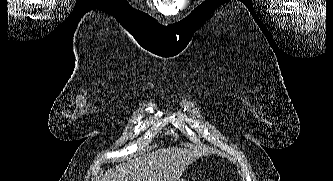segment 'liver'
<instances>
[{
    "mask_svg": "<svg viewBox=\"0 0 333 181\" xmlns=\"http://www.w3.org/2000/svg\"><path fill=\"white\" fill-rule=\"evenodd\" d=\"M203 154L196 148H162L116 165L101 181H179L186 168Z\"/></svg>",
    "mask_w": 333,
    "mask_h": 181,
    "instance_id": "obj_1",
    "label": "liver"
}]
</instances>
